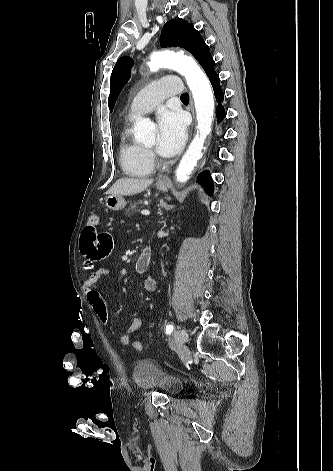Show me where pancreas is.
<instances>
[{"instance_id":"obj_1","label":"pancreas","mask_w":333,"mask_h":471,"mask_svg":"<svg viewBox=\"0 0 333 471\" xmlns=\"http://www.w3.org/2000/svg\"><path fill=\"white\" fill-rule=\"evenodd\" d=\"M139 204H142L141 200H139L138 202L131 203L130 207L128 209H126V214L129 215V212L133 211L135 209L136 205H139Z\"/></svg>"}]
</instances>
